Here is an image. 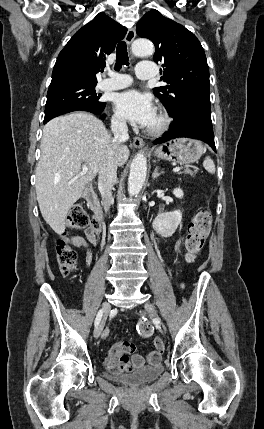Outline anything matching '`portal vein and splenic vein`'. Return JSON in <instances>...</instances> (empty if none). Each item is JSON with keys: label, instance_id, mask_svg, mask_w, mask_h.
I'll use <instances>...</instances> for the list:
<instances>
[{"label": "portal vein and splenic vein", "instance_id": "18ae733b", "mask_svg": "<svg viewBox=\"0 0 264 429\" xmlns=\"http://www.w3.org/2000/svg\"><path fill=\"white\" fill-rule=\"evenodd\" d=\"M82 169L84 170V171H87L88 170V167L87 166H83L82 167ZM181 170V168L180 167H175V168H173V172H179Z\"/></svg>", "mask_w": 264, "mask_h": 429}]
</instances>
